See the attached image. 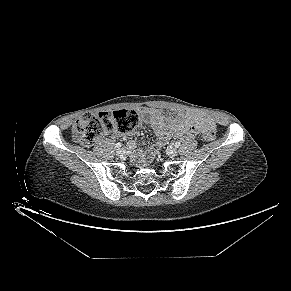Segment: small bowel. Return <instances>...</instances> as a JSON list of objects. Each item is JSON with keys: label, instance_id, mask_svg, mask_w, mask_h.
Wrapping results in <instances>:
<instances>
[{"label": "small bowel", "instance_id": "small-bowel-1", "mask_svg": "<svg viewBox=\"0 0 291 291\" xmlns=\"http://www.w3.org/2000/svg\"><path fill=\"white\" fill-rule=\"evenodd\" d=\"M141 115L147 119L159 137V142L151 149L150 155L153 154L156 147L170 137L203 133L208 128L214 127L211 120L192 111L182 112L174 117H165L159 110L147 108L141 110ZM134 146V142L129 143L130 148Z\"/></svg>", "mask_w": 291, "mask_h": 291}]
</instances>
